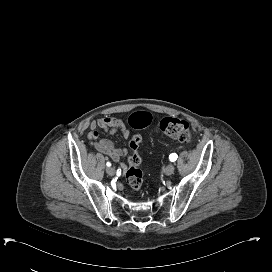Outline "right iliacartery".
Masks as SVG:
<instances>
[{
  "instance_id": "82829eb1",
  "label": "right iliac artery",
  "mask_w": 272,
  "mask_h": 272,
  "mask_svg": "<svg viewBox=\"0 0 272 272\" xmlns=\"http://www.w3.org/2000/svg\"><path fill=\"white\" fill-rule=\"evenodd\" d=\"M107 166H108V167H110V166H111V163H110V162H108V163H107Z\"/></svg>"
}]
</instances>
